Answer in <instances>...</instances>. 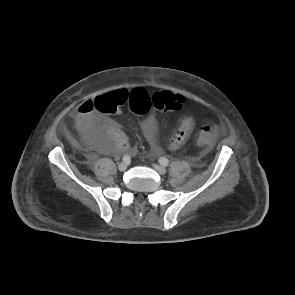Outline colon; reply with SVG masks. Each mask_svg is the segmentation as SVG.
<instances>
[{
	"label": "colon",
	"mask_w": 295,
	"mask_h": 295,
	"mask_svg": "<svg viewBox=\"0 0 295 295\" xmlns=\"http://www.w3.org/2000/svg\"><path fill=\"white\" fill-rule=\"evenodd\" d=\"M185 105V98L171 92L150 95L144 90H117L101 95L93 101L96 110L102 113H116L128 107L139 115L149 113L153 108L160 111L180 110ZM218 133V123L210 120L204 123L198 133L197 141L201 146H210Z\"/></svg>",
	"instance_id": "obj_1"
}]
</instances>
